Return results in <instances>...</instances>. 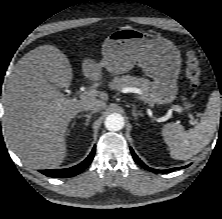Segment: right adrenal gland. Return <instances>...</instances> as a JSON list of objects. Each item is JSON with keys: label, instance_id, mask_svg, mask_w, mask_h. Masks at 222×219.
Returning <instances> with one entry per match:
<instances>
[{"label": "right adrenal gland", "instance_id": "right-adrenal-gland-1", "mask_svg": "<svg viewBox=\"0 0 222 219\" xmlns=\"http://www.w3.org/2000/svg\"><path fill=\"white\" fill-rule=\"evenodd\" d=\"M95 112H90L88 114H82L80 116H78V118H82V117H86V122H85V126H87L90 122V119L92 117V115L94 114Z\"/></svg>", "mask_w": 222, "mask_h": 219}]
</instances>
